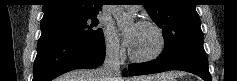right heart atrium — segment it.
I'll return each instance as SVG.
<instances>
[{
	"mask_svg": "<svg viewBox=\"0 0 237 81\" xmlns=\"http://www.w3.org/2000/svg\"><path fill=\"white\" fill-rule=\"evenodd\" d=\"M106 52L109 56L120 58L123 55V47L110 26L105 29Z\"/></svg>",
	"mask_w": 237,
	"mask_h": 81,
	"instance_id": "obj_1",
	"label": "right heart atrium"
}]
</instances>
